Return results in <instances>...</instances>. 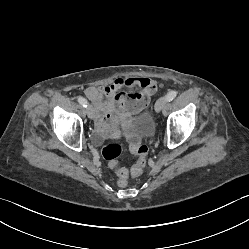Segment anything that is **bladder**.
<instances>
[{"label":"bladder","mask_w":249,"mask_h":249,"mask_svg":"<svg viewBox=\"0 0 249 249\" xmlns=\"http://www.w3.org/2000/svg\"><path fill=\"white\" fill-rule=\"evenodd\" d=\"M125 131L140 138H146L150 136L152 127L150 124L149 114L145 112L138 115L134 123L125 126Z\"/></svg>","instance_id":"1"}]
</instances>
